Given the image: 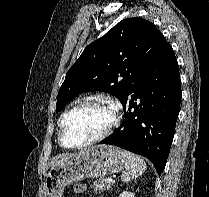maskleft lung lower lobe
<instances>
[{
	"instance_id": "0a47b994",
	"label": "left lung lower lobe",
	"mask_w": 209,
	"mask_h": 197,
	"mask_svg": "<svg viewBox=\"0 0 209 197\" xmlns=\"http://www.w3.org/2000/svg\"><path fill=\"white\" fill-rule=\"evenodd\" d=\"M181 96L178 63L166 41L122 102L124 121L100 143L148 158L160 175L170 152Z\"/></svg>"
}]
</instances>
